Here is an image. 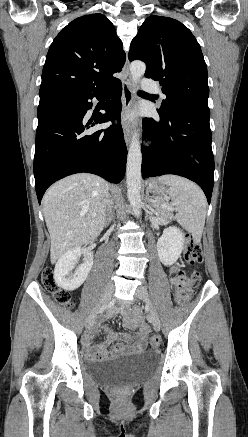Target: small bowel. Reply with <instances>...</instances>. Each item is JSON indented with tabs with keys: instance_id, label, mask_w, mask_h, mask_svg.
<instances>
[{
	"instance_id": "c3829d8e",
	"label": "small bowel",
	"mask_w": 248,
	"mask_h": 437,
	"mask_svg": "<svg viewBox=\"0 0 248 437\" xmlns=\"http://www.w3.org/2000/svg\"><path fill=\"white\" fill-rule=\"evenodd\" d=\"M177 268L172 267L171 272H174ZM172 283H176L174 279L171 280ZM116 313L115 310H110L106 317H112ZM99 327L103 328L107 333L108 337L104 343L94 345L93 344V332H89L85 335L83 339V344L85 348V354L91 359H103L108 355L114 356L122 352H139L144 349L143 336L146 333L144 326H140V337L130 336L127 334L117 333L110 329L103 321L98 324ZM121 340L122 343H117L113 346L111 351L108 353L109 345L116 341Z\"/></svg>"
}]
</instances>
